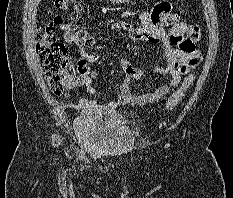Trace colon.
<instances>
[{
    "instance_id": "1",
    "label": "colon",
    "mask_w": 233,
    "mask_h": 198,
    "mask_svg": "<svg viewBox=\"0 0 233 198\" xmlns=\"http://www.w3.org/2000/svg\"><path fill=\"white\" fill-rule=\"evenodd\" d=\"M55 7L63 11L68 19L61 15H52L47 22L41 23L35 37L36 52L50 89L55 94H61L73 82L70 70V59L65 44L56 35L57 29L65 33L67 41L77 45H87L90 42L88 32L78 29L76 20L82 10L81 0H56ZM201 38L197 26H188L184 47L194 49L195 42ZM199 57H191L177 66L181 74H187L180 87L168 98L165 109L172 110L183 98L185 91L194 80L192 70L199 64Z\"/></svg>"
}]
</instances>
